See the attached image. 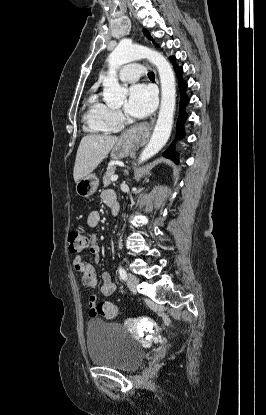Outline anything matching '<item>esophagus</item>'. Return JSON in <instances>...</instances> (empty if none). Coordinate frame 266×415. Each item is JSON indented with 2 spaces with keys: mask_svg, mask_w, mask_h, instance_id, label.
<instances>
[{
  "mask_svg": "<svg viewBox=\"0 0 266 415\" xmlns=\"http://www.w3.org/2000/svg\"><path fill=\"white\" fill-rule=\"evenodd\" d=\"M150 119H151V125H153V124L155 123L156 113H154V114L151 116V118H150ZM139 129H140V126L133 127V128H131V129H129V130H127V131H125V132L123 133L122 137H123V138H125V139H131L132 134L136 133Z\"/></svg>",
  "mask_w": 266,
  "mask_h": 415,
  "instance_id": "obj_1",
  "label": "esophagus"
}]
</instances>
